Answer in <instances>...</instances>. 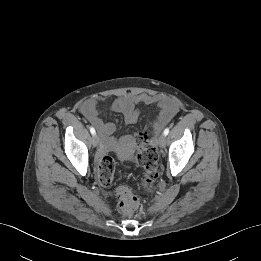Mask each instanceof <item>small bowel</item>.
Segmentation results:
<instances>
[{"mask_svg":"<svg viewBox=\"0 0 261 261\" xmlns=\"http://www.w3.org/2000/svg\"><path fill=\"white\" fill-rule=\"evenodd\" d=\"M102 101L103 99L100 97L90 98L81 104L80 111L105 140L106 146L103 148V151H105L112 144L108 138L116 131V125L102 119L100 109ZM139 104L157 106L160 109L157 127L166 124L178 111V104L172 98L145 93L119 96L113 100L111 110L121 114L125 123L134 124L139 118Z\"/></svg>","mask_w":261,"mask_h":261,"instance_id":"c3829d8e","label":"small bowel"}]
</instances>
